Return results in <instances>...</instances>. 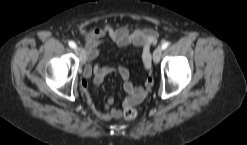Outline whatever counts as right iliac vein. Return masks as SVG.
<instances>
[{"mask_svg":"<svg viewBox=\"0 0 247 145\" xmlns=\"http://www.w3.org/2000/svg\"><path fill=\"white\" fill-rule=\"evenodd\" d=\"M76 52H77V54H78V56H79V58L81 60V63L84 64V62H85V52H84L83 48L77 47L76 48Z\"/></svg>","mask_w":247,"mask_h":145,"instance_id":"1","label":"right iliac vein"}]
</instances>
